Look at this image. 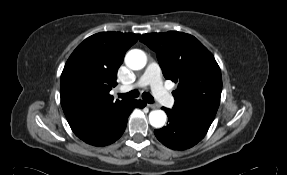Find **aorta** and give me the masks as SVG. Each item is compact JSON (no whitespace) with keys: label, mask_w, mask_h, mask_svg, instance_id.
<instances>
[{"label":"aorta","mask_w":287,"mask_h":175,"mask_svg":"<svg viewBox=\"0 0 287 175\" xmlns=\"http://www.w3.org/2000/svg\"><path fill=\"white\" fill-rule=\"evenodd\" d=\"M147 63L146 54L139 49L130 50L125 56V64L132 70H141ZM166 113L163 110H154L149 114V122L155 128H161L166 122Z\"/></svg>","instance_id":"obj_1"}]
</instances>
